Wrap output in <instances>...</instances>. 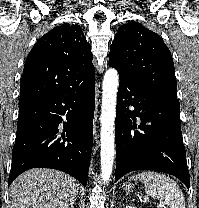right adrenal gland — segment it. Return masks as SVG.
Listing matches in <instances>:
<instances>
[{"mask_svg": "<svg viewBox=\"0 0 199 208\" xmlns=\"http://www.w3.org/2000/svg\"><path fill=\"white\" fill-rule=\"evenodd\" d=\"M75 201L71 203L70 208H74Z\"/></svg>", "mask_w": 199, "mask_h": 208, "instance_id": "obj_1", "label": "right adrenal gland"}]
</instances>
